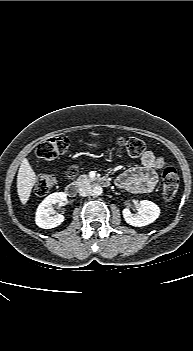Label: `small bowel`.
Returning a JSON list of instances; mask_svg holds the SVG:
<instances>
[{
	"label": "small bowel",
	"instance_id": "small-bowel-1",
	"mask_svg": "<svg viewBox=\"0 0 193 351\" xmlns=\"http://www.w3.org/2000/svg\"><path fill=\"white\" fill-rule=\"evenodd\" d=\"M165 165L162 157L147 151L141 158V165L125 171L118 179L120 187L134 194L151 193L158 181L157 170Z\"/></svg>",
	"mask_w": 193,
	"mask_h": 351
}]
</instances>
